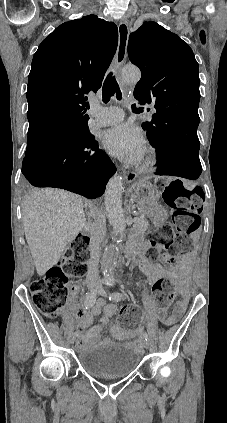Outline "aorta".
Instances as JSON below:
<instances>
[{
	"label": "aorta",
	"instance_id": "1",
	"mask_svg": "<svg viewBox=\"0 0 227 423\" xmlns=\"http://www.w3.org/2000/svg\"><path fill=\"white\" fill-rule=\"evenodd\" d=\"M141 74L138 68L127 66L122 70V78L128 83H137ZM123 183L119 176L114 175L108 182L105 191V209L108 220L113 227L116 237L123 238L126 233V222L122 208ZM117 259L114 251L107 248L102 253L101 269L104 275L109 276L113 273Z\"/></svg>",
	"mask_w": 227,
	"mask_h": 423
}]
</instances>
